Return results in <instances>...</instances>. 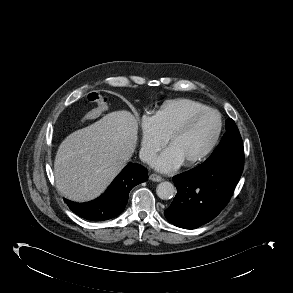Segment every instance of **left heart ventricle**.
Here are the masks:
<instances>
[{"label":"left heart ventricle","instance_id":"left-heart-ventricle-1","mask_svg":"<svg viewBox=\"0 0 293 293\" xmlns=\"http://www.w3.org/2000/svg\"><path fill=\"white\" fill-rule=\"evenodd\" d=\"M218 127L214 114H206L193 122L190 128L169 145L182 162H187L199 155L210 143Z\"/></svg>","mask_w":293,"mask_h":293}]
</instances>
